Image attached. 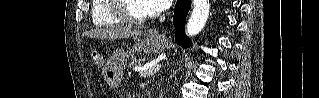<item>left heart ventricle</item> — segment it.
<instances>
[{
	"mask_svg": "<svg viewBox=\"0 0 319 98\" xmlns=\"http://www.w3.org/2000/svg\"><path fill=\"white\" fill-rule=\"evenodd\" d=\"M124 10L126 14L134 18H141L150 14L147 3L143 0H126Z\"/></svg>",
	"mask_w": 319,
	"mask_h": 98,
	"instance_id": "obj_1",
	"label": "left heart ventricle"
}]
</instances>
